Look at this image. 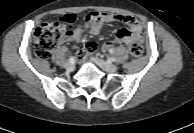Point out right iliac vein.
<instances>
[{
  "mask_svg": "<svg viewBox=\"0 0 194 133\" xmlns=\"http://www.w3.org/2000/svg\"><path fill=\"white\" fill-rule=\"evenodd\" d=\"M65 68H66V70H68V71H73L74 68H75V65H74V63H72V62H67V63L65 64Z\"/></svg>",
  "mask_w": 194,
  "mask_h": 133,
  "instance_id": "1",
  "label": "right iliac vein"
}]
</instances>
